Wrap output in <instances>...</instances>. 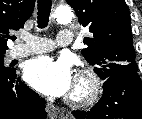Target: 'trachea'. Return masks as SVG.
Instances as JSON below:
<instances>
[{
  "instance_id": "1",
  "label": "trachea",
  "mask_w": 142,
  "mask_h": 119,
  "mask_svg": "<svg viewBox=\"0 0 142 119\" xmlns=\"http://www.w3.org/2000/svg\"><path fill=\"white\" fill-rule=\"evenodd\" d=\"M51 6H52L51 0H38L37 23L39 28L47 27L49 22L50 12H51Z\"/></svg>"
}]
</instances>
